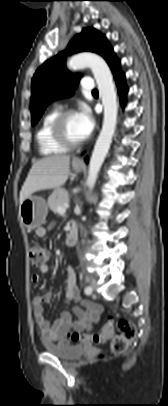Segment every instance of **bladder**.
Wrapping results in <instances>:
<instances>
[{
	"label": "bladder",
	"mask_w": 168,
	"mask_h": 406,
	"mask_svg": "<svg viewBox=\"0 0 168 406\" xmlns=\"http://www.w3.org/2000/svg\"><path fill=\"white\" fill-rule=\"evenodd\" d=\"M48 352L57 358L65 361H72L80 357L83 353V348L74 344H49L44 343Z\"/></svg>",
	"instance_id": "31cf9c89"
}]
</instances>
